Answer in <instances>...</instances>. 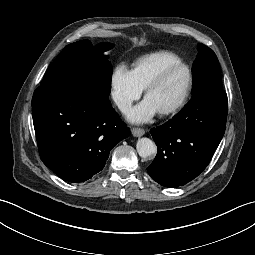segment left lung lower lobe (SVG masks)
Masks as SVG:
<instances>
[{"instance_id": "0a47b994", "label": "left lung lower lobe", "mask_w": 255, "mask_h": 255, "mask_svg": "<svg viewBox=\"0 0 255 255\" xmlns=\"http://www.w3.org/2000/svg\"><path fill=\"white\" fill-rule=\"evenodd\" d=\"M227 94L208 87L171 120L151 129L157 155L148 174L165 187H179L196 178L209 164L225 132Z\"/></svg>"}]
</instances>
